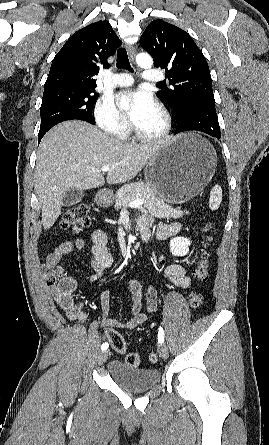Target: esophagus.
<instances>
[{"label": "esophagus", "instance_id": "34e87169", "mask_svg": "<svg viewBox=\"0 0 269 445\" xmlns=\"http://www.w3.org/2000/svg\"><path fill=\"white\" fill-rule=\"evenodd\" d=\"M126 48H127V51H128V54H129L131 60L134 61L135 53H136L135 48L132 45H127Z\"/></svg>", "mask_w": 269, "mask_h": 445}]
</instances>
